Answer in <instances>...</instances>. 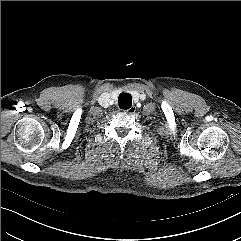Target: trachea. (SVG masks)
<instances>
[{
    "instance_id": "1",
    "label": "trachea",
    "mask_w": 241,
    "mask_h": 241,
    "mask_svg": "<svg viewBox=\"0 0 241 241\" xmlns=\"http://www.w3.org/2000/svg\"><path fill=\"white\" fill-rule=\"evenodd\" d=\"M118 104L121 109H129L132 106V97L129 93H122L118 97Z\"/></svg>"
}]
</instances>
